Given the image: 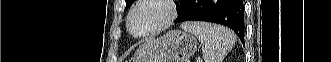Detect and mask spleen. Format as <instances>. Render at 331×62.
<instances>
[{
  "instance_id": "obj_1",
  "label": "spleen",
  "mask_w": 331,
  "mask_h": 62,
  "mask_svg": "<svg viewBox=\"0 0 331 62\" xmlns=\"http://www.w3.org/2000/svg\"><path fill=\"white\" fill-rule=\"evenodd\" d=\"M181 28L200 41L205 62H221L235 43L234 33L216 24L185 22Z\"/></svg>"
}]
</instances>
